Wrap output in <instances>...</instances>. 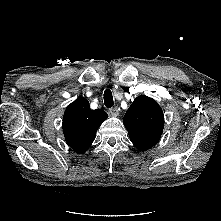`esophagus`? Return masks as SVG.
I'll return each mask as SVG.
<instances>
[{
	"instance_id": "obj_1",
	"label": "esophagus",
	"mask_w": 221,
	"mask_h": 221,
	"mask_svg": "<svg viewBox=\"0 0 221 221\" xmlns=\"http://www.w3.org/2000/svg\"><path fill=\"white\" fill-rule=\"evenodd\" d=\"M109 113L114 117L118 116L119 114L118 108L114 107V108L109 109Z\"/></svg>"
}]
</instances>
